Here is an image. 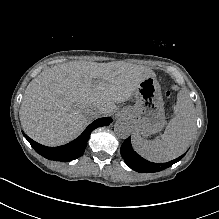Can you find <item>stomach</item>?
Instances as JSON below:
<instances>
[{
    "mask_svg": "<svg viewBox=\"0 0 219 219\" xmlns=\"http://www.w3.org/2000/svg\"><path fill=\"white\" fill-rule=\"evenodd\" d=\"M134 106L124 107L122 113L143 137L155 134L165 125L164 101L156 78H145L134 94Z\"/></svg>",
    "mask_w": 219,
    "mask_h": 219,
    "instance_id": "1",
    "label": "stomach"
}]
</instances>
